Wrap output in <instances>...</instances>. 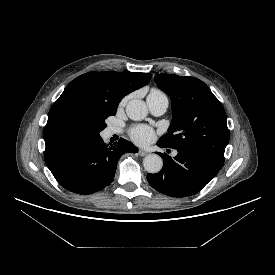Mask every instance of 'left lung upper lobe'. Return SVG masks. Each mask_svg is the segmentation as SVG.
I'll return each instance as SVG.
<instances>
[{"label":"left lung upper lobe","mask_w":275,"mask_h":275,"mask_svg":"<svg viewBox=\"0 0 275 275\" xmlns=\"http://www.w3.org/2000/svg\"><path fill=\"white\" fill-rule=\"evenodd\" d=\"M154 81L172 103L173 119L159 143L191 150L224 162L229 142L227 117L210 88L194 77L156 74Z\"/></svg>","instance_id":"1"}]
</instances>
